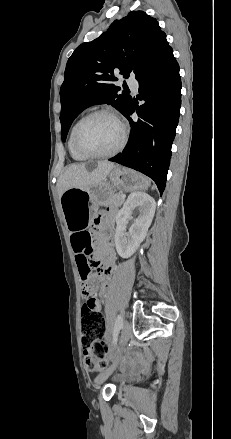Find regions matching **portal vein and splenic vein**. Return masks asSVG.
Segmentation results:
<instances>
[{
    "instance_id": "obj_1",
    "label": "portal vein and splenic vein",
    "mask_w": 231,
    "mask_h": 439,
    "mask_svg": "<svg viewBox=\"0 0 231 439\" xmlns=\"http://www.w3.org/2000/svg\"><path fill=\"white\" fill-rule=\"evenodd\" d=\"M121 198H122V199H125V195H124V194H122V195H121Z\"/></svg>"
}]
</instances>
